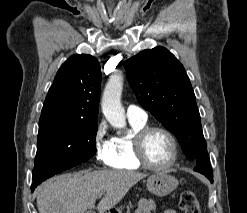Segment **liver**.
I'll use <instances>...</instances> for the list:
<instances>
[{
	"label": "liver",
	"mask_w": 247,
	"mask_h": 213,
	"mask_svg": "<svg viewBox=\"0 0 247 213\" xmlns=\"http://www.w3.org/2000/svg\"><path fill=\"white\" fill-rule=\"evenodd\" d=\"M147 174L122 170L77 172L55 177L38 188L39 213H86L97 205L99 213L113 208Z\"/></svg>",
	"instance_id": "liver-1"
}]
</instances>
